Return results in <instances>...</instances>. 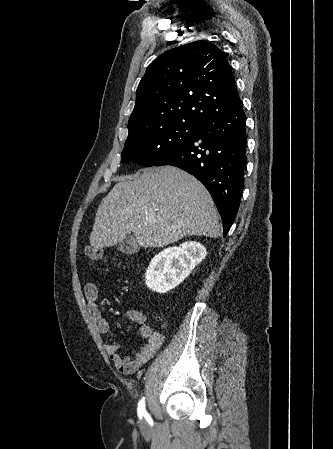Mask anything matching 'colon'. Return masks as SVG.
<instances>
[{"label": "colon", "instance_id": "colon-1", "mask_svg": "<svg viewBox=\"0 0 333 449\" xmlns=\"http://www.w3.org/2000/svg\"><path fill=\"white\" fill-rule=\"evenodd\" d=\"M85 256L88 263L94 265L101 261L103 253L101 249L90 246L85 250Z\"/></svg>", "mask_w": 333, "mask_h": 449}]
</instances>
